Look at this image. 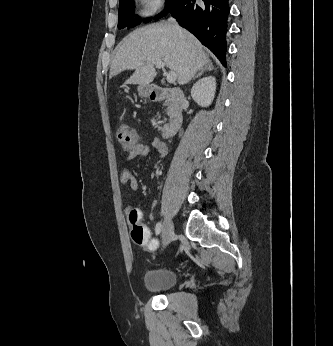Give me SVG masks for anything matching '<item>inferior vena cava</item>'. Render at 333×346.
Listing matches in <instances>:
<instances>
[{
  "instance_id": "602c4592",
  "label": "inferior vena cava",
  "mask_w": 333,
  "mask_h": 346,
  "mask_svg": "<svg viewBox=\"0 0 333 346\" xmlns=\"http://www.w3.org/2000/svg\"><path fill=\"white\" fill-rule=\"evenodd\" d=\"M168 21H169V23L174 24L177 28L179 27L175 19L170 18Z\"/></svg>"
}]
</instances>
